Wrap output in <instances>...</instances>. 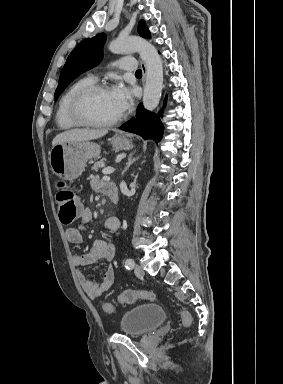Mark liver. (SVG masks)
<instances>
[{
	"instance_id": "6515ba94",
	"label": "liver",
	"mask_w": 283,
	"mask_h": 384,
	"mask_svg": "<svg viewBox=\"0 0 283 384\" xmlns=\"http://www.w3.org/2000/svg\"><path fill=\"white\" fill-rule=\"evenodd\" d=\"M108 134V130H67L55 136L52 146L56 144H62V142H87V140H97Z\"/></svg>"
}]
</instances>
